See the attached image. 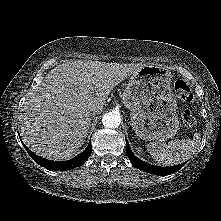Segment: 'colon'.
<instances>
[{
  "mask_svg": "<svg viewBox=\"0 0 221 221\" xmlns=\"http://www.w3.org/2000/svg\"><path fill=\"white\" fill-rule=\"evenodd\" d=\"M174 92L182 102L189 103L194 98L191 88L183 80H177L175 82ZM181 119L186 127H193L196 124V119L190 110H184L181 114Z\"/></svg>",
  "mask_w": 221,
  "mask_h": 221,
  "instance_id": "obj_1",
  "label": "colon"
}]
</instances>
